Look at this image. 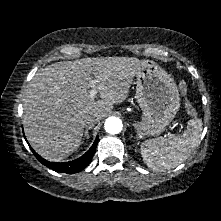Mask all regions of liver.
<instances>
[{"instance_id": "6515ba94", "label": "liver", "mask_w": 221, "mask_h": 221, "mask_svg": "<svg viewBox=\"0 0 221 221\" xmlns=\"http://www.w3.org/2000/svg\"><path fill=\"white\" fill-rule=\"evenodd\" d=\"M140 64L132 57H95L57 62L38 71L23 104L24 131L33 149L50 161L75 152L84 117L101 120L114 104L124 102ZM90 88L99 92L100 100L89 97Z\"/></svg>"}]
</instances>
